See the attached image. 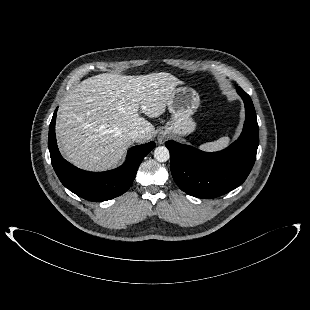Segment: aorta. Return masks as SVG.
Wrapping results in <instances>:
<instances>
[{
  "mask_svg": "<svg viewBox=\"0 0 310 310\" xmlns=\"http://www.w3.org/2000/svg\"><path fill=\"white\" fill-rule=\"evenodd\" d=\"M154 158L158 162H166L170 158L169 150L165 146H159L154 150Z\"/></svg>",
  "mask_w": 310,
  "mask_h": 310,
  "instance_id": "aorta-1",
  "label": "aorta"
}]
</instances>
